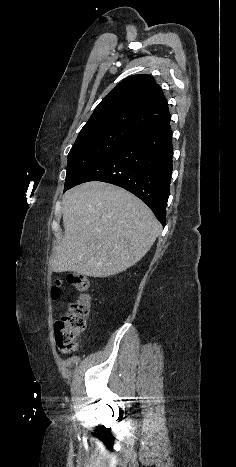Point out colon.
I'll use <instances>...</instances> for the list:
<instances>
[{
    "label": "colon",
    "instance_id": "obj_1",
    "mask_svg": "<svg viewBox=\"0 0 236 467\" xmlns=\"http://www.w3.org/2000/svg\"><path fill=\"white\" fill-rule=\"evenodd\" d=\"M68 284L81 293L78 299L68 303L66 312L55 323V338L59 350L69 354L77 349V339L86 330L87 320L91 312L90 297L87 294L89 280L81 273H71ZM62 283L57 281L52 288V297L58 300L61 296Z\"/></svg>",
    "mask_w": 236,
    "mask_h": 467
}]
</instances>
